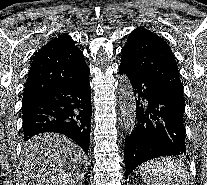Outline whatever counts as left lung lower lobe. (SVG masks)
Wrapping results in <instances>:
<instances>
[{
    "label": "left lung lower lobe",
    "mask_w": 207,
    "mask_h": 185,
    "mask_svg": "<svg viewBox=\"0 0 207 185\" xmlns=\"http://www.w3.org/2000/svg\"><path fill=\"white\" fill-rule=\"evenodd\" d=\"M119 72L130 79L137 101L135 129L125 142L127 177L145 161L186 153L185 107L184 102L153 80L132 75L121 65Z\"/></svg>",
    "instance_id": "0a47b994"
}]
</instances>
